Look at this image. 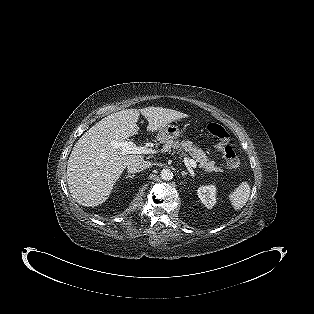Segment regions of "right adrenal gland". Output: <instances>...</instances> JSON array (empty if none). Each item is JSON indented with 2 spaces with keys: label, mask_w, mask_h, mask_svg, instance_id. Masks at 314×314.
Here are the masks:
<instances>
[{
  "label": "right adrenal gland",
  "mask_w": 314,
  "mask_h": 314,
  "mask_svg": "<svg viewBox=\"0 0 314 314\" xmlns=\"http://www.w3.org/2000/svg\"><path fill=\"white\" fill-rule=\"evenodd\" d=\"M134 174H128L125 178L127 179V178H134Z\"/></svg>",
  "instance_id": "obj_1"
}]
</instances>
